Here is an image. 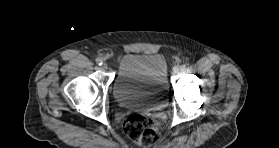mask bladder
Listing matches in <instances>:
<instances>
[{"label":"bladder","instance_id":"1","mask_svg":"<svg viewBox=\"0 0 279 148\" xmlns=\"http://www.w3.org/2000/svg\"><path fill=\"white\" fill-rule=\"evenodd\" d=\"M113 95L129 109L160 110L168 103L167 67L159 54H127L118 64Z\"/></svg>","mask_w":279,"mask_h":148}]
</instances>
